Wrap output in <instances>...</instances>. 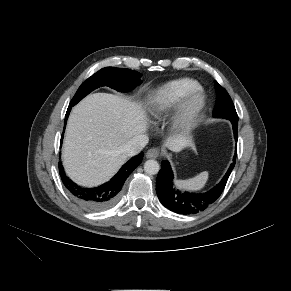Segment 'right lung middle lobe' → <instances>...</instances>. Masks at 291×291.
<instances>
[{
  "instance_id": "obj_1",
  "label": "right lung middle lobe",
  "mask_w": 291,
  "mask_h": 291,
  "mask_svg": "<svg viewBox=\"0 0 291 291\" xmlns=\"http://www.w3.org/2000/svg\"><path fill=\"white\" fill-rule=\"evenodd\" d=\"M141 74L125 68L105 67L93 74L77 90L69 106H74L87 94L100 86H109L118 91H130L142 83Z\"/></svg>"
}]
</instances>
